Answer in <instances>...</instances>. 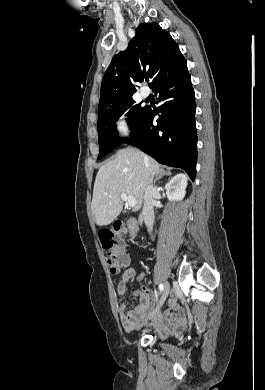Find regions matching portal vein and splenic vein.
Here are the masks:
<instances>
[{
  "instance_id": "obj_1",
  "label": "portal vein and splenic vein",
  "mask_w": 265,
  "mask_h": 390,
  "mask_svg": "<svg viewBox=\"0 0 265 390\" xmlns=\"http://www.w3.org/2000/svg\"><path fill=\"white\" fill-rule=\"evenodd\" d=\"M120 197H121V199H122L123 201H125V202L128 204V206H130V207H135L136 204H137L135 197L129 196V195H127L126 193H121Z\"/></svg>"
}]
</instances>
